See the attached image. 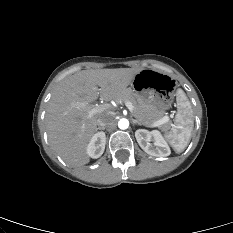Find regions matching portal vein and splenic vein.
I'll use <instances>...</instances> for the list:
<instances>
[{"label":"portal vein and splenic vein","instance_id":"portal-vein-and-splenic-vein-1","mask_svg":"<svg viewBox=\"0 0 233 233\" xmlns=\"http://www.w3.org/2000/svg\"><path fill=\"white\" fill-rule=\"evenodd\" d=\"M125 105L126 107L129 109V111L131 113L134 112V107L133 105L131 104V102L129 101H125ZM78 107L79 108H83V109H86L88 111V116H93L99 112H102V111H105L107 109H109L110 105L109 104H101V105H96V106H88L84 103L82 104H78ZM169 121V117L168 116H164L163 118H161L160 120L154 122L152 124L153 127H159L160 125L166 123Z\"/></svg>","mask_w":233,"mask_h":233}]
</instances>
